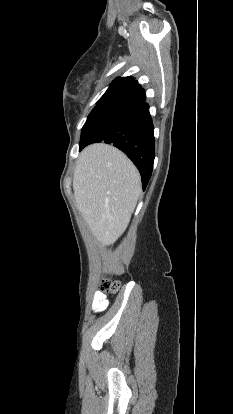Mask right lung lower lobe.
<instances>
[{"label": "right lung lower lobe", "instance_id": "right-lung-lower-lobe-1", "mask_svg": "<svg viewBox=\"0 0 233 414\" xmlns=\"http://www.w3.org/2000/svg\"><path fill=\"white\" fill-rule=\"evenodd\" d=\"M154 127L138 84L95 106L82 128L79 151L95 142L113 144L136 165L143 189L151 177L155 157Z\"/></svg>", "mask_w": 233, "mask_h": 414}]
</instances>
